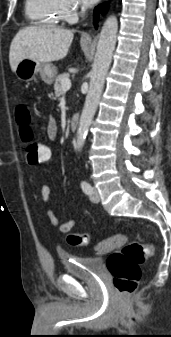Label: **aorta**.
I'll use <instances>...</instances> for the list:
<instances>
[{"instance_id": "762f6f07", "label": "aorta", "mask_w": 171, "mask_h": 337, "mask_svg": "<svg viewBox=\"0 0 171 337\" xmlns=\"http://www.w3.org/2000/svg\"><path fill=\"white\" fill-rule=\"evenodd\" d=\"M118 32L116 16L111 15L105 21L98 40L93 67L90 73L89 90L81 113L76 136V146H84L92 119L97 110L102 94L105 77L110 67Z\"/></svg>"}]
</instances>
